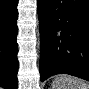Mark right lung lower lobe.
Returning <instances> with one entry per match:
<instances>
[{"label":"right lung lower lobe","instance_id":"right-lung-lower-lobe-1","mask_svg":"<svg viewBox=\"0 0 89 89\" xmlns=\"http://www.w3.org/2000/svg\"><path fill=\"white\" fill-rule=\"evenodd\" d=\"M18 0L0 1V85L5 89H17Z\"/></svg>","mask_w":89,"mask_h":89}]
</instances>
